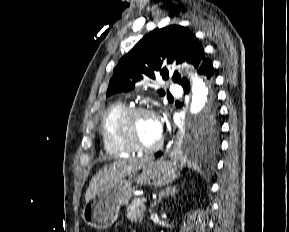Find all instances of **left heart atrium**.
Segmentation results:
<instances>
[{
    "mask_svg": "<svg viewBox=\"0 0 289 232\" xmlns=\"http://www.w3.org/2000/svg\"><path fill=\"white\" fill-rule=\"evenodd\" d=\"M157 134H158V137L161 138V135H162V124L158 120H157Z\"/></svg>",
    "mask_w": 289,
    "mask_h": 232,
    "instance_id": "left-heart-atrium-1",
    "label": "left heart atrium"
}]
</instances>
